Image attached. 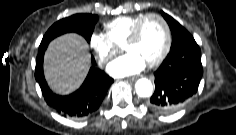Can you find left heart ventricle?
<instances>
[{
	"mask_svg": "<svg viewBox=\"0 0 236 135\" xmlns=\"http://www.w3.org/2000/svg\"><path fill=\"white\" fill-rule=\"evenodd\" d=\"M165 44V31L160 20L150 17L142 24L137 41L125 51L134 53L146 63L154 61L161 53Z\"/></svg>",
	"mask_w": 236,
	"mask_h": 135,
	"instance_id": "b2bd125f",
	"label": "left heart ventricle"
}]
</instances>
